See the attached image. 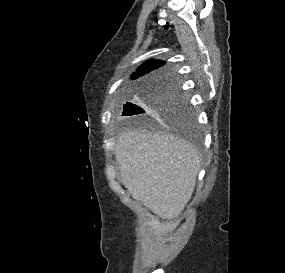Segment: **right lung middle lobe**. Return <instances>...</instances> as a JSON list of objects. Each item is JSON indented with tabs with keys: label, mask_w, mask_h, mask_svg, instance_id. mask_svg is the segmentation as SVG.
<instances>
[{
	"label": "right lung middle lobe",
	"mask_w": 285,
	"mask_h": 273,
	"mask_svg": "<svg viewBox=\"0 0 285 273\" xmlns=\"http://www.w3.org/2000/svg\"><path fill=\"white\" fill-rule=\"evenodd\" d=\"M123 116H132L136 121H149L159 116L166 124L191 130L195 126L194 116L170 74L158 75L147 81L134 103L124 105Z\"/></svg>",
	"instance_id": "obj_1"
}]
</instances>
